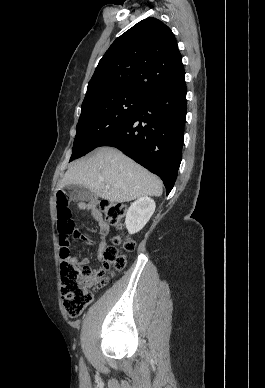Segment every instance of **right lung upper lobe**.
<instances>
[{
  "mask_svg": "<svg viewBox=\"0 0 265 388\" xmlns=\"http://www.w3.org/2000/svg\"><path fill=\"white\" fill-rule=\"evenodd\" d=\"M182 57L171 29L146 18L118 37L99 61L86 96L101 91L144 96L152 89L184 77Z\"/></svg>",
  "mask_w": 265,
  "mask_h": 388,
  "instance_id": "1",
  "label": "right lung upper lobe"
}]
</instances>
